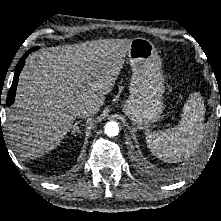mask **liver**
<instances>
[{
  "label": "liver",
  "mask_w": 221,
  "mask_h": 221,
  "mask_svg": "<svg viewBox=\"0 0 221 221\" xmlns=\"http://www.w3.org/2000/svg\"><path fill=\"white\" fill-rule=\"evenodd\" d=\"M130 39L59 45L32 54L24 66L8 130L16 151L35 159L55 149L72 129L76 110H99L120 73Z\"/></svg>",
  "instance_id": "1"
}]
</instances>
